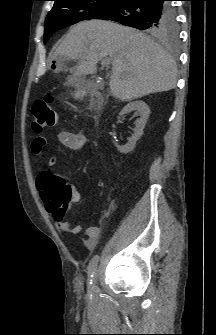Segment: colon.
I'll return each instance as SVG.
<instances>
[{
  "label": "colon",
  "mask_w": 216,
  "mask_h": 335,
  "mask_svg": "<svg viewBox=\"0 0 216 335\" xmlns=\"http://www.w3.org/2000/svg\"><path fill=\"white\" fill-rule=\"evenodd\" d=\"M53 96L47 94L44 99L38 100L32 107V126L35 131L41 132L47 128L53 127L57 121V111L52 105ZM52 195L59 198L58 205L63 207L72 200L71 192L65 183H59L54 180L51 186Z\"/></svg>",
  "instance_id": "5ec220e1"
}]
</instances>
